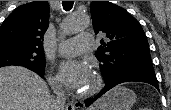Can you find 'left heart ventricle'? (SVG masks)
<instances>
[{"label": "left heart ventricle", "mask_w": 171, "mask_h": 110, "mask_svg": "<svg viewBox=\"0 0 171 110\" xmlns=\"http://www.w3.org/2000/svg\"><path fill=\"white\" fill-rule=\"evenodd\" d=\"M93 76L91 75L90 78L88 79L86 85L84 86V88L81 90V92L87 91L88 89L91 88V86L93 85Z\"/></svg>", "instance_id": "b2bd125f"}]
</instances>
